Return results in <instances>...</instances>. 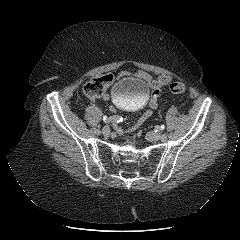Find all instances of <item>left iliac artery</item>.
<instances>
[{"label": "left iliac artery", "instance_id": "left-iliac-artery-1", "mask_svg": "<svg viewBox=\"0 0 240 240\" xmlns=\"http://www.w3.org/2000/svg\"><path fill=\"white\" fill-rule=\"evenodd\" d=\"M160 135H161L162 137H165V136H168V135H169V132L163 129V130H161Z\"/></svg>", "mask_w": 240, "mask_h": 240}]
</instances>
